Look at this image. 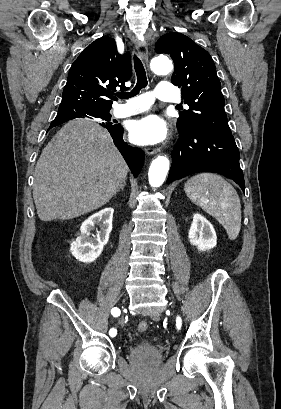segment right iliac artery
<instances>
[{"label": "right iliac artery", "mask_w": 281, "mask_h": 409, "mask_svg": "<svg viewBox=\"0 0 281 409\" xmlns=\"http://www.w3.org/2000/svg\"><path fill=\"white\" fill-rule=\"evenodd\" d=\"M111 314H112L114 317H117V316L120 315V310H119L117 307H114V308L111 310ZM109 334H110V336L114 337V336L117 334L116 329L112 328V329L109 331Z\"/></svg>", "instance_id": "obj_1"}]
</instances>
